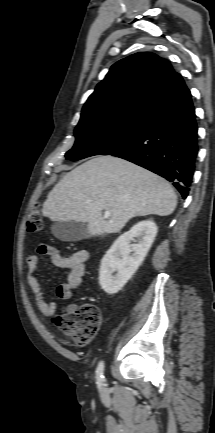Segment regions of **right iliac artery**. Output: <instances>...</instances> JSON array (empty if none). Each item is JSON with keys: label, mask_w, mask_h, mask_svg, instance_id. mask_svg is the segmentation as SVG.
Returning <instances> with one entry per match:
<instances>
[{"label": "right iliac artery", "mask_w": 215, "mask_h": 433, "mask_svg": "<svg viewBox=\"0 0 215 433\" xmlns=\"http://www.w3.org/2000/svg\"><path fill=\"white\" fill-rule=\"evenodd\" d=\"M104 362L101 361L96 369V379L99 383L104 381Z\"/></svg>", "instance_id": "obj_1"}]
</instances>
